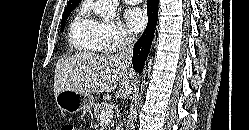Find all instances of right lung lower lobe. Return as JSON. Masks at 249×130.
Here are the masks:
<instances>
[{
	"mask_svg": "<svg viewBox=\"0 0 249 130\" xmlns=\"http://www.w3.org/2000/svg\"><path fill=\"white\" fill-rule=\"evenodd\" d=\"M147 13V27L133 48L132 63L134 70L138 73H141L143 71L144 63L152 44L158 19V0H148Z\"/></svg>",
	"mask_w": 249,
	"mask_h": 130,
	"instance_id": "obj_1",
	"label": "right lung lower lobe"
}]
</instances>
